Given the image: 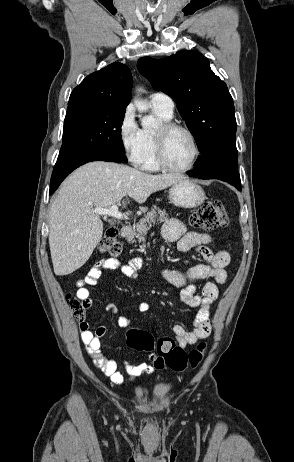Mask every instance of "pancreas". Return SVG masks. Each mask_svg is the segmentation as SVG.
<instances>
[{
    "label": "pancreas",
    "instance_id": "cf45deb5",
    "mask_svg": "<svg viewBox=\"0 0 294 462\" xmlns=\"http://www.w3.org/2000/svg\"><path fill=\"white\" fill-rule=\"evenodd\" d=\"M168 219V214L165 210L151 209L147 214L142 218L133 229V232L129 236V241L132 243L135 242L134 238H137L138 241L143 240L147 231L152 227V224L162 223Z\"/></svg>",
    "mask_w": 294,
    "mask_h": 462
}]
</instances>
